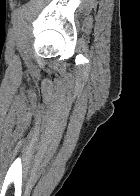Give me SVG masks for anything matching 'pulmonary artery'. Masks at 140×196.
Returning a JSON list of instances; mask_svg holds the SVG:
<instances>
[{
	"label": "pulmonary artery",
	"mask_w": 140,
	"mask_h": 196,
	"mask_svg": "<svg viewBox=\"0 0 140 196\" xmlns=\"http://www.w3.org/2000/svg\"><path fill=\"white\" fill-rule=\"evenodd\" d=\"M36 192H49V191H36Z\"/></svg>",
	"instance_id": "obj_1"
}]
</instances>
